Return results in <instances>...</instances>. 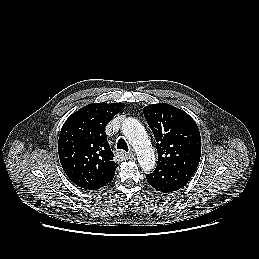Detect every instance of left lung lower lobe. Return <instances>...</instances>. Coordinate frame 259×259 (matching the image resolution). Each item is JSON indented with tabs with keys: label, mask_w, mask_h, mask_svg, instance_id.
Segmentation results:
<instances>
[{
	"label": "left lung lower lobe",
	"mask_w": 259,
	"mask_h": 259,
	"mask_svg": "<svg viewBox=\"0 0 259 259\" xmlns=\"http://www.w3.org/2000/svg\"><path fill=\"white\" fill-rule=\"evenodd\" d=\"M146 179L152 187L163 193L179 190L188 183L183 176L166 169H156L146 175Z\"/></svg>",
	"instance_id": "obj_1"
}]
</instances>
